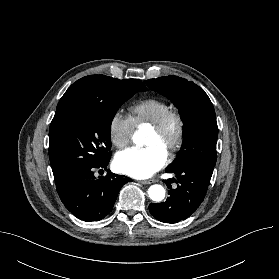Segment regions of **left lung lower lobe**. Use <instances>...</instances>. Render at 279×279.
<instances>
[{
    "label": "left lung lower lobe",
    "instance_id": "obj_1",
    "mask_svg": "<svg viewBox=\"0 0 279 279\" xmlns=\"http://www.w3.org/2000/svg\"><path fill=\"white\" fill-rule=\"evenodd\" d=\"M168 173H175L177 180H164L169 187V197L162 203H151L149 210L159 221L177 223L189 217L203 201L211 176L193 168L178 170L166 169ZM176 182L173 189L171 183Z\"/></svg>",
    "mask_w": 279,
    "mask_h": 279
}]
</instances>
